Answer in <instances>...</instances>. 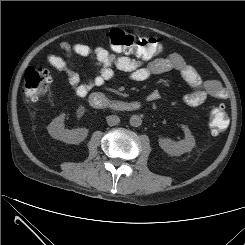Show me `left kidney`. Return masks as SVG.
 Wrapping results in <instances>:
<instances>
[{
    "mask_svg": "<svg viewBox=\"0 0 245 245\" xmlns=\"http://www.w3.org/2000/svg\"><path fill=\"white\" fill-rule=\"evenodd\" d=\"M185 139L179 142H174L170 139H160V147L169 155L180 156L183 153L189 152L195 146L194 136L191 134L190 130L186 126H182Z\"/></svg>",
    "mask_w": 245,
    "mask_h": 245,
    "instance_id": "1",
    "label": "left kidney"
}]
</instances>
